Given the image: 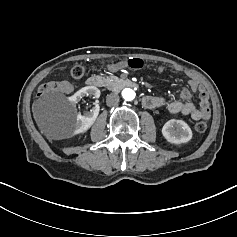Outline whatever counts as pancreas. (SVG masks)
Segmentation results:
<instances>
[{
    "instance_id": "1",
    "label": "pancreas",
    "mask_w": 237,
    "mask_h": 237,
    "mask_svg": "<svg viewBox=\"0 0 237 237\" xmlns=\"http://www.w3.org/2000/svg\"><path fill=\"white\" fill-rule=\"evenodd\" d=\"M103 82L104 87L109 90H114L121 82V79L115 75H106Z\"/></svg>"
}]
</instances>
